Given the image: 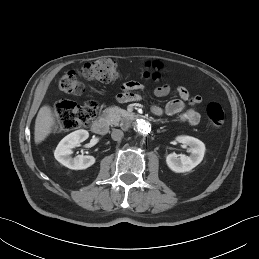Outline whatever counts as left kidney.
Returning a JSON list of instances; mask_svg holds the SVG:
<instances>
[{"label": "left kidney", "instance_id": "obj_1", "mask_svg": "<svg viewBox=\"0 0 259 259\" xmlns=\"http://www.w3.org/2000/svg\"><path fill=\"white\" fill-rule=\"evenodd\" d=\"M176 140L190 147V156L171 153L166 157L167 166L176 173L188 172L203 160L206 150L205 145L199 139L191 136H179Z\"/></svg>", "mask_w": 259, "mask_h": 259}]
</instances>
